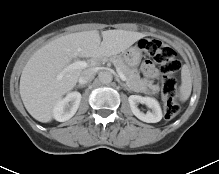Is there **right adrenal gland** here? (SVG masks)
Wrapping results in <instances>:
<instances>
[{
	"label": "right adrenal gland",
	"mask_w": 219,
	"mask_h": 174,
	"mask_svg": "<svg viewBox=\"0 0 219 174\" xmlns=\"http://www.w3.org/2000/svg\"><path fill=\"white\" fill-rule=\"evenodd\" d=\"M84 86H82V85H77V88H83Z\"/></svg>",
	"instance_id": "1"
}]
</instances>
